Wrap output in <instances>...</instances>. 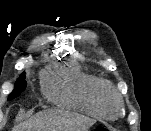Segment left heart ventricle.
I'll return each mask as SVG.
<instances>
[{"label": "left heart ventricle", "instance_id": "1", "mask_svg": "<svg viewBox=\"0 0 151 131\" xmlns=\"http://www.w3.org/2000/svg\"><path fill=\"white\" fill-rule=\"evenodd\" d=\"M109 108H110L111 111H114L115 105H114L113 102H111V103L109 104Z\"/></svg>", "mask_w": 151, "mask_h": 131}]
</instances>
